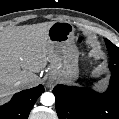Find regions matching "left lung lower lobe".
<instances>
[{
    "instance_id": "left-lung-lower-lobe-1",
    "label": "left lung lower lobe",
    "mask_w": 119,
    "mask_h": 119,
    "mask_svg": "<svg viewBox=\"0 0 119 119\" xmlns=\"http://www.w3.org/2000/svg\"><path fill=\"white\" fill-rule=\"evenodd\" d=\"M112 71L106 92L59 84L54 87L59 119H119V48L105 39Z\"/></svg>"
}]
</instances>
